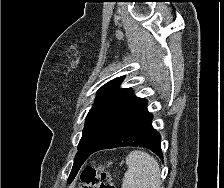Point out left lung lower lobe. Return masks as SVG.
I'll return each mask as SVG.
<instances>
[{
  "label": "left lung lower lobe",
  "instance_id": "left-lung-lower-lobe-1",
  "mask_svg": "<svg viewBox=\"0 0 224 188\" xmlns=\"http://www.w3.org/2000/svg\"><path fill=\"white\" fill-rule=\"evenodd\" d=\"M152 119V114L147 110V101L139 98L121 115L94 150L89 152L83 160H74L73 168L78 166L77 169H79L83 162L96 151L125 146L145 147L163 158L160 146L161 137L153 129Z\"/></svg>",
  "mask_w": 224,
  "mask_h": 188
}]
</instances>
